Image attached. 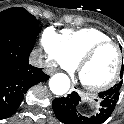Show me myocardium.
<instances>
[{"mask_svg":"<svg viewBox=\"0 0 124 124\" xmlns=\"http://www.w3.org/2000/svg\"><path fill=\"white\" fill-rule=\"evenodd\" d=\"M108 46H112L117 50V54H118V63H117V68L115 70L114 75L112 76V78L101 85H90L87 83H84L82 80V84L83 86L90 92H104L110 88H112L113 86H115L119 80L121 79L122 73H123V68H124V51L122 50V48L114 41H103L100 43L95 44L92 48H90L78 61L77 63V70H78V74L80 77V73L82 71V69L84 68V66L95 57V55L103 48L108 47Z\"/></svg>","mask_w":124,"mask_h":124,"instance_id":"myocardium-1","label":"myocardium"}]
</instances>
